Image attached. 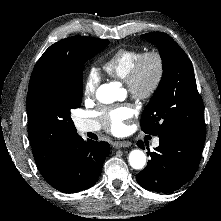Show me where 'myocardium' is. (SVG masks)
<instances>
[{"label":"myocardium","mask_w":221,"mask_h":221,"mask_svg":"<svg viewBox=\"0 0 221 221\" xmlns=\"http://www.w3.org/2000/svg\"><path fill=\"white\" fill-rule=\"evenodd\" d=\"M148 63L154 66V76L149 83L143 81L144 71ZM165 76V60L156 50L143 53L131 70L126 86L131 96L137 101H148L160 89Z\"/></svg>","instance_id":"f54148a6"}]
</instances>
